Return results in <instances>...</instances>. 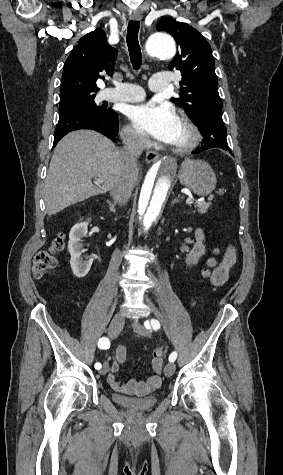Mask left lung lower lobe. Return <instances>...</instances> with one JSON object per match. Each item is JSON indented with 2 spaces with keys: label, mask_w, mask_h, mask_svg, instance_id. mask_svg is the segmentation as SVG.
<instances>
[{
  "label": "left lung lower lobe",
  "mask_w": 283,
  "mask_h": 475,
  "mask_svg": "<svg viewBox=\"0 0 283 475\" xmlns=\"http://www.w3.org/2000/svg\"><path fill=\"white\" fill-rule=\"evenodd\" d=\"M195 124L204 137V144L193 153H200L209 148H221L231 153L226 139L227 130L222 119V109L210 108L205 110L201 119Z\"/></svg>",
  "instance_id": "left-lung-lower-lobe-1"
}]
</instances>
